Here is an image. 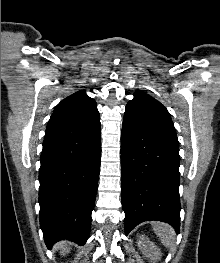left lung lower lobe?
<instances>
[{"mask_svg":"<svg viewBox=\"0 0 220 263\" xmlns=\"http://www.w3.org/2000/svg\"><path fill=\"white\" fill-rule=\"evenodd\" d=\"M179 147L123 121L122 206L125 234L144 221H164L180 229Z\"/></svg>","mask_w":220,"mask_h":263,"instance_id":"left-lung-lower-lobe-1","label":"left lung lower lobe"}]
</instances>
